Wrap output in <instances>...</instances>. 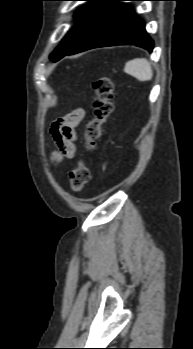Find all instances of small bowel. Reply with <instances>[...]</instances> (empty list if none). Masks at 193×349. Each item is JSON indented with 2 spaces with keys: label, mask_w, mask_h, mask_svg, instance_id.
Returning a JSON list of instances; mask_svg holds the SVG:
<instances>
[{
  "label": "small bowel",
  "mask_w": 193,
  "mask_h": 349,
  "mask_svg": "<svg viewBox=\"0 0 193 349\" xmlns=\"http://www.w3.org/2000/svg\"><path fill=\"white\" fill-rule=\"evenodd\" d=\"M84 117L85 111L77 108L52 124L50 133L56 145V150L52 155L54 161L60 162L64 158L75 157L76 129Z\"/></svg>",
  "instance_id": "1"
}]
</instances>
